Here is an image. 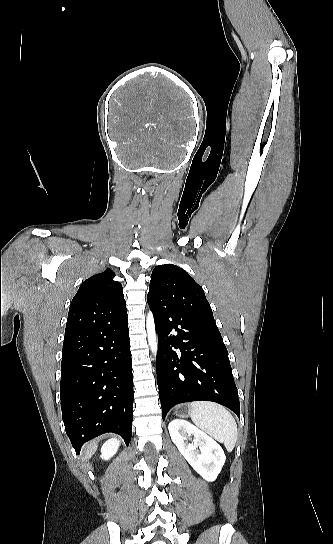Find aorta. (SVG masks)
I'll list each match as a JSON object with an SVG mask.
<instances>
[{
	"label": "aorta",
	"instance_id": "762f6f07",
	"mask_svg": "<svg viewBox=\"0 0 333 544\" xmlns=\"http://www.w3.org/2000/svg\"><path fill=\"white\" fill-rule=\"evenodd\" d=\"M146 329H147V337H148V344L150 346V350L152 354L156 356L158 351V342H157V336L155 331V323H154L153 315L151 312H149L147 316Z\"/></svg>",
	"mask_w": 333,
	"mask_h": 544
}]
</instances>
